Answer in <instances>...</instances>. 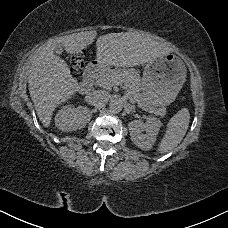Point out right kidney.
Wrapping results in <instances>:
<instances>
[{
    "label": "right kidney",
    "mask_w": 228,
    "mask_h": 228,
    "mask_svg": "<svg viewBox=\"0 0 228 228\" xmlns=\"http://www.w3.org/2000/svg\"><path fill=\"white\" fill-rule=\"evenodd\" d=\"M91 118L92 114L87 108L63 106L55 116V126L61 131L72 132L84 128Z\"/></svg>",
    "instance_id": "1"
}]
</instances>
